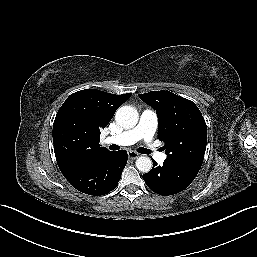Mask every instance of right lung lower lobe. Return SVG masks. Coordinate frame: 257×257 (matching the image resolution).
<instances>
[{
	"mask_svg": "<svg viewBox=\"0 0 257 257\" xmlns=\"http://www.w3.org/2000/svg\"><path fill=\"white\" fill-rule=\"evenodd\" d=\"M127 160L125 150L109 151L94 157L80 168L61 172L77 190L88 195L101 196L117 187Z\"/></svg>",
	"mask_w": 257,
	"mask_h": 257,
	"instance_id": "98d812e1",
	"label": "right lung lower lobe"
}]
</instances>
